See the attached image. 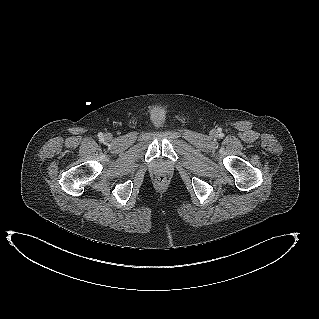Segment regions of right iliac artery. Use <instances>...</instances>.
<instances>
[{
    "label": "right iliac artery",
    "mask_w": 319,
    "mask_h": 319,
    "mask_svg": "<svg viewBox=\"0 0 319 319\" xmlns=\"http://www.w3.org/2000/svg\"><path fill=\"white\" fill-rule=\"evenodd\" d=\"M98 137H99L100 139H102V138H103V133H99V134H98Z\"/></svg>",
    "instance_id": "1"
}]
</instances>
